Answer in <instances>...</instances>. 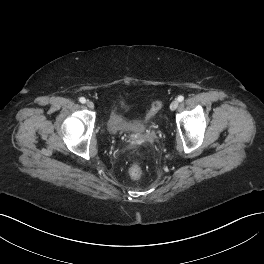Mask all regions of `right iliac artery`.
Segmentation results:
<instances>
[{
	"instance_id": "obj_1",
	"label": "right iliac artery",
	"mask_w": 264,
	"mask_h": 264,
	"mask_svg": "<svg viewBox=\"0 0 264 264\" xmlns=\"http://www.w3.org/2000/svg\"><path fill=\"white\" fill-rule=\"evenodd\" d=\"M79 101L84 104L86 102V99L84 97H80Z\"/></svg>"
}]
</instances>
